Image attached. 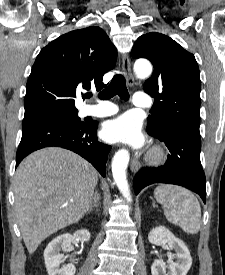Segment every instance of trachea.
<instances>
[{
	"instance_id": "trachea-1",
	"label": "trachea",
	"mask_w": 225,
	"mask_h": 275,
	"mask_svg": "<svg viewBox=\"0 0 225 275\" xmlns=\"http://www.w3.org/2000/svg\"><path fill=\"white\" fill-rule=\"evenodd\" d=\"M115 95H118L123 100H129L126 80L121 74L114 75L109 86L102 90L98 97L102 100H106L112 98ZM88 97H91V94H89Z\"/></svg>"
}]
</instances>
